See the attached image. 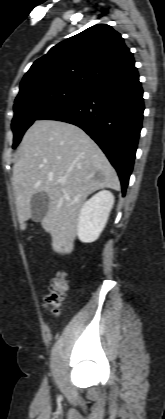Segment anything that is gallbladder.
I'll return each instance as SVG.
<instances>
[{
	"label": "gallbladder",
	"instance_id": "gallbladder-1",
	"mask_svg": "<svg viewBox=\"0 0 165 419\" xmlns=\"http://www.w3.org/2000/svg\"><path fill=\"white\" fill-rule=\"evenodd\" d=\"M49 197L44 192L33 195L30 202L31 219L35 222H41L49 209Z\"/></svg>",
	"mask_w": 165,
	"mask_h": 419
}]
</instances>
